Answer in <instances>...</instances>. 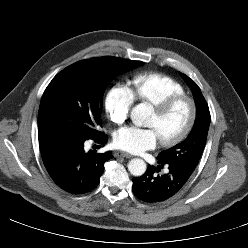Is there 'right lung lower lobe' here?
Wrapping results in <instances>:
<instances>
[{
	"label": "right lung lower lobe",
	"instance_id": "obj_1",
	"mask_svg": "<svg viewBox=\"0 0 248 248\" xmlns=\"http://www.w3.org/2000/svg\"><path fill=\"white\" fill-rule=\"evenodd\" d=\"M92 138L105 145L108 137L99 132L88 138L65 132L39 134V146L43 163L53 181L71 194L90 192L99 184L104 163L113 158L112 152L97 154L84 151L85 140Z\"/></svg>",
	"mask_w": 248,
	"mask_h": 248
}]
</instances>
